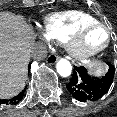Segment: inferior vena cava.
Masks as SVG:
<instances>
[{
    "mask_svg": "<svg viewBox=\"0 0 117 117\" xmlns=\"http://www.w3.org/2000/svg\"><path fill=\"white\" fill-rule=\"evenodd\" d=\"M31 57L36 60H43L47 57V49L43 43H36L30 50Z\"/></svg>",
    "mask_w": 117,
    "mask_h": 117,
    "instance_id": "obj_1",
    "label": "inferior vena cava"
}]
</instances>
